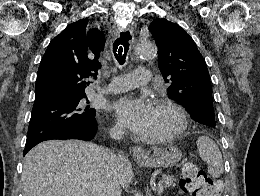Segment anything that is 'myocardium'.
<instances>
[{
	"label": "myocardium",
	"instance_id": "myocardium-1",
	"mask_svg": "<svg viewBox=\"0 0 260 196\" xmlns=\"http://www.w3.org/2000/svg\"><path fill=\"white\" fill-rule=\"evenodd\" d=\"M153 104L167 108L175 116V124L158 133H153L149 140L153 142L167 141L180 134L187 126V115L184 109L171 99L165 97H156Z\"/></svg>",
	"mask_w": 260,
	"mask_h": 196
}]
</instances>
